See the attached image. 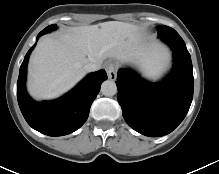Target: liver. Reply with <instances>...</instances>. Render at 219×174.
I'll list each match as a JSON object with an SVG mask.
<instances>
[{
  "instance_id": "1",
  "label": "liver",
  "mask_w": 219,
  "mask_h": 174,
  "mask_svg": "<svg viewBox=\"0 0 219 174\" xmlns=\"http://www.w3.org/2000/svg\"><path fill=\"white\" fill-rule=\"evenodd\" d=\"M106 58L136 60L149 69L163 62L165 55L161 48L145 45L139 28L129 23L72 28L38 42L28 66V91L36 99L57 97L83 78L87 63L100 67Z\"/></svg>"
}]
</instances>
